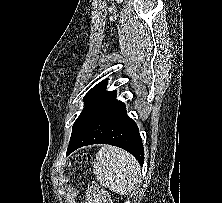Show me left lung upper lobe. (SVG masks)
<instances>
[{"label":"left lung upper lobe","mask_w":222,"mask_h":203,"mask_svg":"<svg viewBox=\"0 0 222 203\" xmlns=\"http://www.w3.org/2000/svg\"><path fill=\"white\" fill-rule=\"evenodd\" d=\"M106 85L107 80H103L86 94L85 107L74 122L70 142L81 134L101 106L116 93V91H106Z\"/></svg>","instance_id":"obj_1"}]
</instances>
